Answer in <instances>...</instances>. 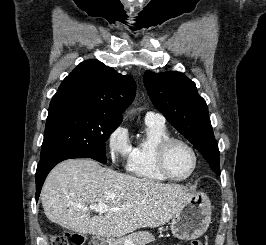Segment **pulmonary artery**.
<instances>
[{
	"label": "pulmonary artery",
	"instance_id": "obj_1",
	"mask_svg": "<svg viewBox=\"0 0 266 245\" xmlns=\"http://www.w3.org/2000/svg\"><path fill=\"white\" fill-rule=\"evenodd\" d=\"M145 121H157V122H162L165 123V117L159 113V112H155V111H147L145 113L144 116Z\"/></svg>",
	"mask_w": 266,
	"mask_h": 245
}]
</instances>
